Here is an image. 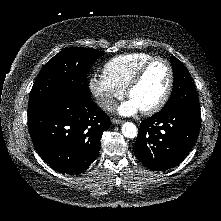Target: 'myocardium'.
<instances>
[{"instance_id": "myocardium-1", "label": "myocardium", "mask_w": 221, "mask_h": 221, "mask_svg": "<svg viewBox=\"0 0 221 221\" xmlns=\"http://www.w3.org/2000/svg\"><path fill=\"white\" fill-rule=\"evenodd\" d=\"M157 61L162 62L166 66L167 71H168V82L160 100L152 107L140 110L141 113H143L144 115H152L160 111L164 107V105L167 103L170 97V94L173 88V83H174V73H173V68L171 64L169 63V61L159 56L152 57L151 59H149L148 61H146L144 64L140 66V68L136 71V73L130 80L125 90L127 97H130L132 90L141 82L148 68Z\"/></svg>"}]
</instances>
